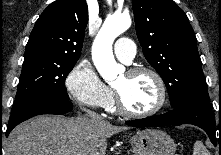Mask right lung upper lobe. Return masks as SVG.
I'll return each instance as SVG.
<instances>
[{"label":"right lung upper lobe","instance_id":"1","mask_svg":"<svg viewBox=\"0 0 221 155\" xmlns=\"http://www.w3.org/2000/svg\"><path fill=\"white\" fill-rule=\"evenodd\" d=\"M87 22L85 0H57L51 3L36 21L24 57L78 60Z\"/></svg>","mask_w":221,"mask_h":155}]
</instances>
